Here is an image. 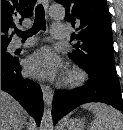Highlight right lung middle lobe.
<instances>
[{"label":"right lung middle lobe","mask_w":123,"mask_h":130,"mask_svg":"<svg viewBox=\"0 0 123 130\" xmlns=\"http://www.w3.org/2000/svg\"><path fill=\"white\" fill-rule=\"evenodd\" d=\"M8 44H1V56H8L11 57V55L6 51Z\"/></svg>","instance_id":"right-lung-middle-lobe-1"}]
</instances>
